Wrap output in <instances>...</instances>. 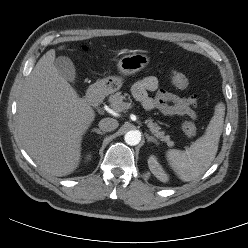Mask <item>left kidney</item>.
Returning a JSON list of instances; mask_svg holds the SVG:
<instances>
[{
	"instance_id": "5707ae66",
	"label": "left kidney",
	"mask_w": 248,
	"mask_h": 248,
	"mask_svg": "<svg viewBox=\"0 0 248 248\" xmlns=\"http://www.w3.org/2000/svg\"><path fill=\"white\" fill-rule=\"evenodd\" d=\"M148 166L152 174L162 182H167L169 180L168 175L165 173L161 165L158 163L155 156H150L148 159Z\"/></svg>"
}]
</instances>
